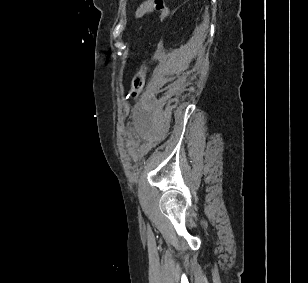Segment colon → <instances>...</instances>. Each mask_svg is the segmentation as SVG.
I'll use <instances>...</instances> for the list:
<instances>
[{"label": "colon", "mask_w": 308, "mask_h": 283, "mask_svg": "<svg viewBox=\"0 0 308 283\" xmlns=\"http://www.w3.org/2000/svg\"><path fill=\"white\" fill-rule=\"evenodd\" d=\"M157 12L160 19L165 21L169 15V10L163 0H147L136 10L134 17L136 19L141 18L147 13ZM147 70L142 67L133 77L131 87L129 90V97L136 98L142 91L146 81Z\"/></svg>", "instance_id": "1"}]
</instances>
